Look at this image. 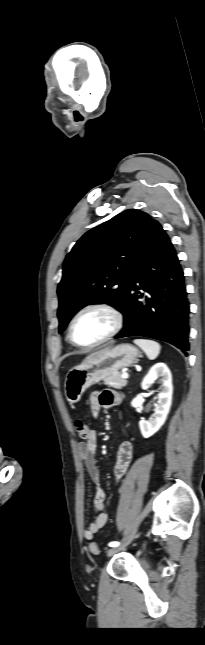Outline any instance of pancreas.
Returning a JSON list of instances; mask_svg holds the SVG:
<instances>
[{
	"instance_id": "1",
	"label": "pancreas",
	"mask_w": 205,
	"mask_h": 645,
	"mask_svg": "<svg viewBox=\"0 0 205 645\" xmlns=\"http://www.w3.org/2000/svg\"><path fill=\"white\" fill-rule=\"evenodd\" d=\"M104 384L116 389H121L127 385V380L122 378V374L114 373L104 379Z\"/></svg>"
}]
</instances>
